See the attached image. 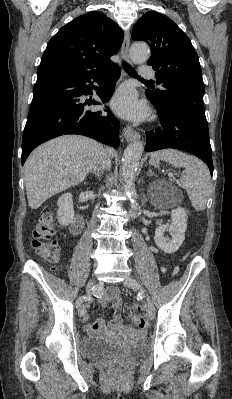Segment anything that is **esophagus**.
Listing matches in <instances>:
<instances>
[{"label":"esophagus","instance_id":"1","mask_svg":"<svg viewBox=\"0 0 232 399\" xmlns=\"http://www.w3.org/2000/svg\"><path fill=\"white\" fill-rule=\"evenodd\" d=\"M129 45H130V32L127 30L124 34V40L121 47V53L123 60L126 62H130L129 60ZM123 135L125 139L130 142L131 140H138L140 139V134L133 130L131 127H125L123 129Z\"/></svg>","mask_w":232,"mask_h":399}]
</instances>
